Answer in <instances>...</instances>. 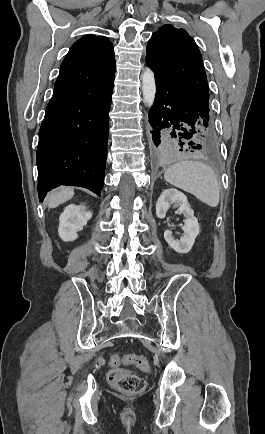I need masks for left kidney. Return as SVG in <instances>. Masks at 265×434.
<instances>
[{"instance_id": "5707ae66", "label": "left kidney", "mask_w": 265, "mask_h": 434, "mask_svg": "<svg viewBox=\"0 0 265 434\" xmlns=\"http://www.w3.org/2000/svg\"><path fill=\"white\" fill-rule=\"evenodd\" d=\"M171 204H174L175 208L179 206L175 214H183L184 218H186V220H183L184 226H182L184 234L181 236L180 240H175L174 236H172V232L165 230L164 238L175 252H178V254H188L195 242L196 236L199 234L198 220L195 218L194 212L191 210L185 194L178 192L175 188L164 190L160 198H158L156 202L157 218H165L166 212L169 210Z\"/></svg>"}]
</instances>
